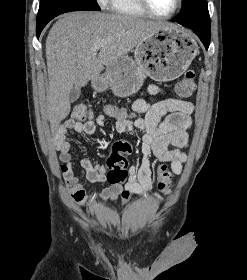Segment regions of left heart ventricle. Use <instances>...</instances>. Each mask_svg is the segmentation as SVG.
Listing matches in <instances>:
<instances>
[{
	"instance_id": "obj_1",
	"label": "left heart ventricle",
	"mask_w": 247,
	"mask_h": 280,
	"mask_svg": "<svg viewBox=\"0 0 247 280\" xmlns=\"http://www.w3.org/2000/svg\"><path fill=\"white\" fill-rule=\"evenodd\" d=\"M176 0H148L150 7L158 14L165 15L171 12Z\"/></svg>"
}]
</instances>
